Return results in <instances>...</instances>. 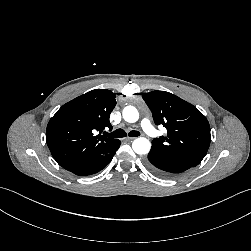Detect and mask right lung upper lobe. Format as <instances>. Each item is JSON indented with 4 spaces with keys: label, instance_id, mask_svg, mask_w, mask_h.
I'll return each instance as SVG.
<instances>
[{
    "label": "right lung upper lobe",
    "instance_id": "obj_1",
    "mask_svg": "<svg viewBox=\"0 0 251 251\" xmlns=\"http://www.w3.org/2000/svg\"><path fill=\"white\" fill-rule=\"evenodd\" d=\"M115 94L107 89L89 91L63 105L50 119L46 142L57 163L66 170L93 162L119 140L101 135L112 129L110 113Z\"/></svg>",
    "mask_w": 251,
    "mask_h": 251
}]
</instances>
